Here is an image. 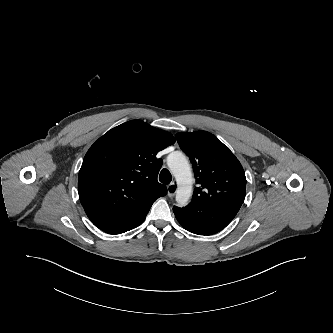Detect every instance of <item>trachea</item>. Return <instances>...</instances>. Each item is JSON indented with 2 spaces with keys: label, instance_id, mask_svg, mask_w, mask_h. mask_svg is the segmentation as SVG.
<instances>
[{
  "label": "trachea",
  "instance_id": "1",
  "mask_svg": "<svg viewBox=\"0 0 333 333\" xmlns=\"http://www.w3.org/2000/svg\"><path fill=\"white\" fill-rule=\"evenodd\" d=\"M161 183L168 185L172 181V175L167 169H162L159 175Z\"/></svg>",
  "mask_w": 333,
  "mask_h": 333
}]
</instances>
